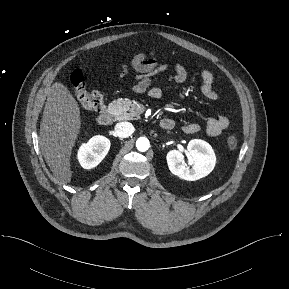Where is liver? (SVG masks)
Wrapping results in <instances>:
<instances>
[{
  "label": "liver",
  "instance_id": "1",
  "mask_svg": "<svg viewBox=\"0 0 289 289\" xmlns=\"http://www.w3.org/2000/svg\"><path fill=\"white\" fill-rule=\"evenodd\" d=\"M81 128L80 108L68 88L56 82L49 89L40 124L42 154L57 182L72 179L70 157Z\"/></svg>",
  "mask_w": 289,
  "mask_h": 289
}]
</instances>
